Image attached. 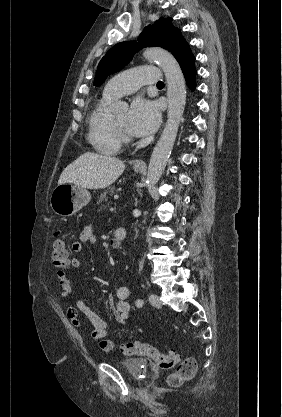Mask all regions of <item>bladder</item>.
I'll return each mask as SVG.
<instances>
[{
    "mask_svg": "<svg viewBox=\"0 0 282 417\" xmlns=\"http://www.w3.org/2000/svg\"><path fill=\"white\" fill-rule=\"evenodd\" d=\"M120 367L135 380H140L149 373L148 364L142 359L124 360L120 363Z\"/></svg>",
    "mask_w": 282,
    "mask_h": 417,
    "instance_id": "obj_1",
    "label": "bladder"
}]
</instances>
